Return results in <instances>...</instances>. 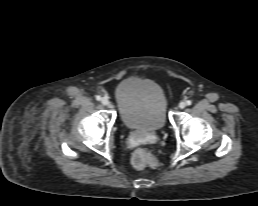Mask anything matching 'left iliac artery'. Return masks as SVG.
I'll list each match as a JSON object with an SVG mask.
<instances>
[{"label":"left iliac artery","instance_id":"1","mask_svg":"<svg viewBox=\"0 0 258 206\" xmlns=\"http://www.w3.org/2000/svg\"><path fill=\"white\" fill-rule=\"evenodd\" d=\"M186 104H187V105H191L192 102H191L190 100H187V101H186Z\"/></svg>","mask_w":258,"mask_h":206}]
</instances>
